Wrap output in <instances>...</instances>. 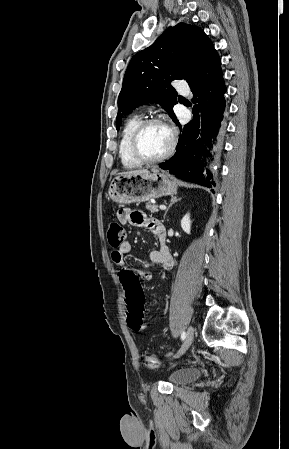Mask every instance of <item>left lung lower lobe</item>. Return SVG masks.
Listing matches in <instances>:
<instances>
[{
  "label": "left lung lower lobe",
  "mask_w": 289,
  "mask_h": 449,
  "mask_svg": "<svg viewBox=\"0 0 289 449\" xmlns=\"http://www.w3.org/2000/svg\"><path fill=\"white\" fill-rule=\"evenodd\" d=\"M221 60L214 49L203 61L194 80V118L182 130L175 155L159 167L185 181L215 186L211 163L220 153L225 134L226 86ZM181 128L177 119L174 120ZM213 191V190H212Z\"/></svg>",
  "instance_id": "0a47b994"
}]
</instances>
